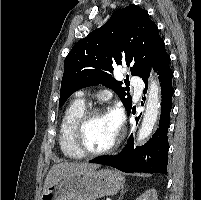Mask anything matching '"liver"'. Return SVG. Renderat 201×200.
<instances>
[{
  "instance_id": "1",
  "label": "liver",
  "mask_w": 201,
  "mask_h": 200,
  "mask_svg": "<svg viewBox=\"0 0 201 200\" xmlns=\"http://www.w3.org/2000/svg\"><path fill=\"white\" fill-rule=\"evenodd\" d=\"M98 167L99 166L96 164L76 162L55 164L51 167L46 176L43 190L45 191L49 186L69 175L83 171H92L97 169Z\"/></svg>"
}]
</instances>
